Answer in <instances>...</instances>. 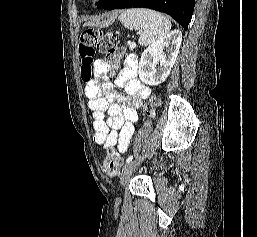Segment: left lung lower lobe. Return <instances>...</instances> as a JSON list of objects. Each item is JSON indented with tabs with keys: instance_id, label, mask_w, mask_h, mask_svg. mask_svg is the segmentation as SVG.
<instances>
[{
	"instance_id": "0a47b994",
	"label": "left lung lower lobe",
	"mask_w": 257,
	"mask_h": 237,
	"mask_svg": "<svg viewBox=\"0 0 257 237\" xmlns=\"http://www.w3.org/2000/svg\"><path fill=\"white\" fill-rule=\"evenodd\" d=\"M194 6L195 0H109L103 9L149 8L170 15L187 29L192 18Z\"/></svg>"
}]
</instances>
